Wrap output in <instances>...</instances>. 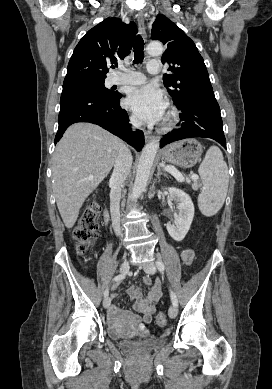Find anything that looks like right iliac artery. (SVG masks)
<instances>
[{"label": "right iliac artery", "mask_w": 272, "mask_h": 389, "mask_svg": "<svg viewBox=\"0 0 272 389\" xmlns=\"http://www.w3.org/2000/svg\"><path fill=\"white\" fill-rule=\"evenodd\" d=\"M122 279H124V275H118L114 277L112 281H120ZM108 295H109V287H107L106 290L104 291V297H107Z\"/></svg>", "instance_id": "82829eb1"}]
</instances>
